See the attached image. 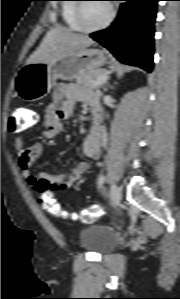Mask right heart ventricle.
<instances>
[{
  "mask_svg": "<svg viewBox=\"0 0 180 299\" xmlns=\"http://www.w3.org/2000/svg\"><path fill=\"white\" fill-rule=\"evenodd\" d=\"M76 0H65L61 7V15L65 25L74 31H80L76 21H75V7L74 3Z\"/></svg>",
  "mask_w": 180,
  "mask_h": 299,
  "instance_id": "obj_1",
  "label": "right heart ventricle"
}]
</instances>
